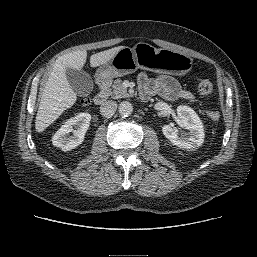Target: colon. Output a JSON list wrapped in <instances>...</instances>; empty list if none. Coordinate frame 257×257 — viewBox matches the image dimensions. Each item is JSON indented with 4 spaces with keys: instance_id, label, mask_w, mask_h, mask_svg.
<instances>
[{
    "instance_id": "5ec220e1",
    "label": "colon",
    "mask_w": 257,
    "mask_h": 257,
    "mask_svg": "<svg viewBox=\"0 0 257 257\" xmlns=\"http://www.w3.org/2000/svg\"><path fill=\"white\" fill-rule=\"evenodd\" d=\"M198 91L201 95H210L213 92V85L209 80H202L198 85ZM82 103L88 104L89 98H84ZM208 117L213 121H217L220 118V114L218 111L211 110L208 112Z\"/></svg>"
}]
</instances>
